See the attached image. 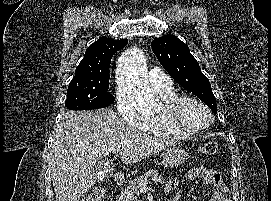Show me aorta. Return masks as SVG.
Here are the masks:
<instances>
[{
    "instance_id": "aorta-1",
    "label": "aorta",
    "mask_w": 271,
    "mask_h": 201,
    "mask_svg": "<svg viewBox=\"0 0 271 201\" xmlns=\"http://www.w3.org/2000/svg\"><path fill=\"white\" fill-rule=\"evenodd\" d=\"M117 79L123 92L137 106L153 108L157 96L148 86L145 57L138 48H129L118 59Z\"/></svg>"
}]
</instances>
